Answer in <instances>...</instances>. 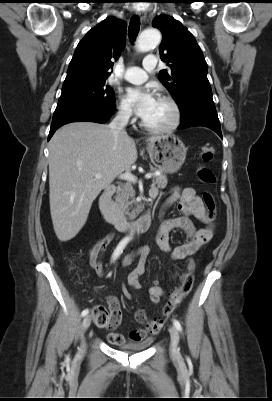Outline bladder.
Masks as SVG:
<instances>
[{
	"instance_id": "31cf9c89",
	"label": "bladder",
	"mask_w": 272,
	"mask_h": 401,
	"mask_svg": "<svg viewBox=\"0 0 272 401\" xmlns=\"http://www.w3.org/2000/svg\"><path fill=\"white\" fill-rule=\"evenodd\" d=\"M151 343H152L151 340H146L142 343L123 344L120 346V348L128 352H138L146 349Z\"/></svg>"
}]
</instances>
